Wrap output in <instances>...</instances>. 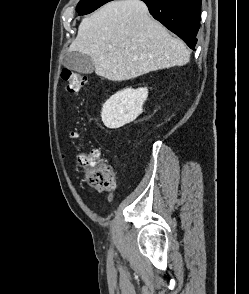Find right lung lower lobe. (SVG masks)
I'll list each match as a JSON object with an SVG mask.
<instances>
[{"label":"right lung lower lobe","mask_w":249,"mask_h":294,"mask_svg":"<svg viewBox=\"0 0 249 294\" xmlns=\"http://www.w3.org/2000/svg\"><path fill=\"white\" fill-rule=\"evenodd\" d=\"M150 14L178 35L191 49L197 43L201 0H142Z\"/></svg>","instance_id":"1"}]
</instances>
